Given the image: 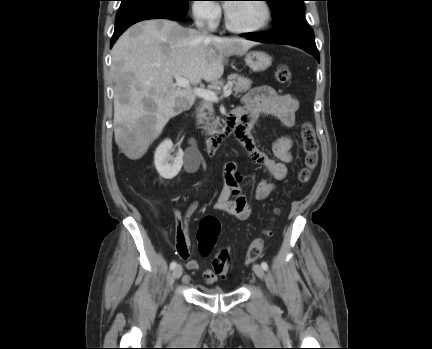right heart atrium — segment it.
<instances>
[{"mask_svg":"<svg viewBox=\"0 0 432 349\" xmlns=\"http://www.w3.org/2000/svg\"><path fill=\"white\" fill-rule=\"evenodd\" d=\"M191 12L197 21L209 27L215 26L221 17L219 5L212 0H194Z\"/></svg>","mask_w":432,"mask_h":349,"instance_id":"d8ad5b80","label":"right heart atrium"}]
</instances>
